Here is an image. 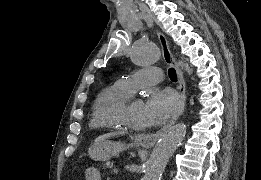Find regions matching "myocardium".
<instances>
[{"instance_id": "myocardium-1", "label": "myocardium", "mask_w": 261, "mask_h": 180, "mask_svg": "<svg viewBox=\"0 0 261 180\" xmlns=\"http://www.w3.org/2000/svg\"><path fill=\"white\" fill-rule=\"evenodd\" d=\"M135 98L134 94H129L122 106L117 108L114 112V123H115V129L117 131L118 136L130 138V139H142L144 136L151 134L154 132L155 127L152 125L145 133H138L128 127L120 118V115L127 109L129 106V102L131 99Z\"/></svg>"}]
</instances>
